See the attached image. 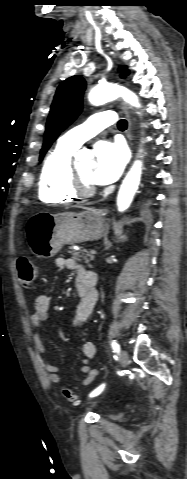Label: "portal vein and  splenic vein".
Listing matches in <instances>:
<instances>
[{"instance_id": "18ae733b", "label": "portal vein and splenic vein", "mask_w": 187, "mask_h": 479, "mask_svg": "<svg viewBox=\"0 0 187 479\" xmlns=\"http://www.w3.org/2000/svg\"><path fill=\"white\" fill-rule=\"evenodd\" d=\"M88 253H89L90 255H94V254H96V251H95V250H90Z\"/></svg>"}]
</instances>
